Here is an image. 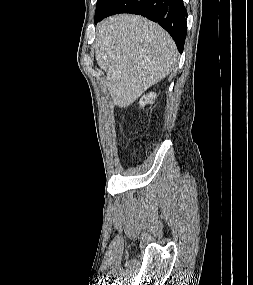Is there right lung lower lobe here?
<instances>
[{
  "mask_svg": "<svg viewBox=\"0 0 253 285\" xmlns=\"http://www.w3.org/2000/svg\"><path fill=\"white\" fill-rule=\"evenodd\" d=\"M117 13L138 14L157 22L172 36L178 51L183 52L187 19L183 0H113L107 9L95 18V24Z\"/></svg>",
  "mask_w": 253,
  "mask_h": 285,
  "instance_id": "obj_1",
  "label": "right lung lower lobe"
}]
</instances>
